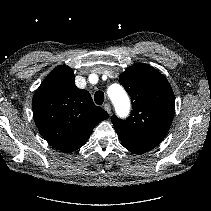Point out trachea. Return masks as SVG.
Listing matches in <instances>:
<instances>
[{"instance_id": "1", "label": "trachea", "mask_w": 211, "mask_h": 211, "mask_svg": "<svg viewBox=\"0 0 211 211\" xmlns=\"http://www.w3.org/2000/svg\"><path fill=\"white\" fill-rule=\"evenodd\" d=\"M94 101L98 105L103 104V102H104V93L102 91H97L94 94Z\"/></svg>"}]
</instances>
